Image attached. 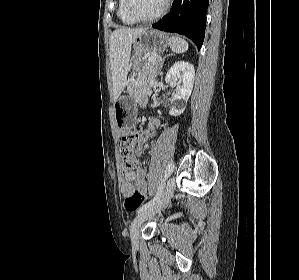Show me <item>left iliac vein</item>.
<instances>
[{
	"instance_id": "1",
	"label": "left iliac vein",
	"mask_w": 299,
	"mask_h": 280,
	"mask_svg": "<svg viewBox=\"0 0 299 280\" xmlns=\"http://www.w3.org/2000/svg\"><path fill=\"white\" fill-rule=\"evenodd\" d=\"M175 188V177L172 176L169 178L167 181V184L158 199V201L152 205L151 207L147 208L146 210L140 212L133 220L131 224V229H130V237L132 241V245L134 248L138 247L139 241H138V233L139 229L144 221L147 219L151 218L154 216L156 213H158L168 202L170 197L173 194Z\"/></svg>"
}]
</instances>
